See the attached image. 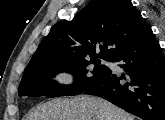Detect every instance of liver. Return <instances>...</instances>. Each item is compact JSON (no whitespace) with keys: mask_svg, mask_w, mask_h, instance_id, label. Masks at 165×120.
<instances>
[{"mask_svg":"<svg viewBox=\"0 0 165 120\" xmlns=\"http://www.w3.org/2000/svg\"><path fill=\"white\" fill-rule=\"evenodd\" d=\"M27 120H134V116L102 98L79 96L38 105Z\"/></svg>","mask_w":165,"mask_h":120,"instance_id":"obj_1","label":"liver"}]
</instances>
